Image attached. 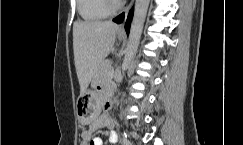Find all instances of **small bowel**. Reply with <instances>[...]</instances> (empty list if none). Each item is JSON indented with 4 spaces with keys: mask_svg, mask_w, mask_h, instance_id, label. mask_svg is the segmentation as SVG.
<instances>
[{
    "mask_svg": "<svg viewBox=\"0 0 243 145\" xmlns=\"http://www.w3.org/2000/svg\"><path fill=\"white\" fill-rule=\"evenodd\" d=\"M109 108H110V103L108 100H105L104 109L108 110ZM113 126L114 123L108 115L103 114L99 116L97 119H95L92 122V124L88 129L82 131L80 145H103V140L100 137L94 136V131L103 127L112 129ZM109 141L112 144H116L118 142V135L115 131L110 132Z\"/></svg>",
    "mask_w": 243,
    "mask_h": 145,
    "instance_id": "c3829d8e",
    "label": "small bowel"
}]
</instances>
